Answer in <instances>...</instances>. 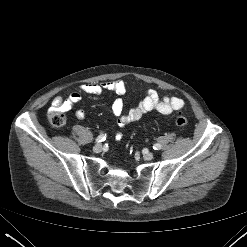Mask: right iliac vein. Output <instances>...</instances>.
Instances as JSON below:
<instances>
[{
  "label": "right iliac vein",
  "instance_id": "obj_1",
  "mask_svg": "<svg viewBox=\"0 0 247 247\" xmlns=\"http://www.w3.org/2000/svg\"><path fill=\"white\" fill-rule=\"evenodd\" d=\"M102 145L101 144H97V145H95L94 147H93V151L95 152V153H100L101 151H102Z\"/></svg>",
  "mask_w": 247,
  "mask_h": 247
}]
</instances>
